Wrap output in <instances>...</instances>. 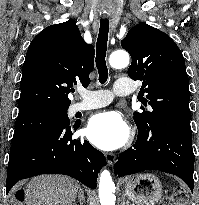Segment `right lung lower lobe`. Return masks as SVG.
<instances>
[{
    "label": "right lung lower lobe",
    "instance_id": "98d812e1",
    "mask_svg": "<svg viewBox=\"0 0 199 205\" xmlns=\"http://www.w3.org/2000/svg\"><path fill=\"white\" fill-rule=\"evenodd\" d=\"M78 124L42 130L11 145L6 193L21 179L40 174H64L96 188L99 170L106 164L102 152L88 141L72 139Z\"/></svg>",
    "mask_w": 199,
    "mask_h": 205
}]
</instances>
